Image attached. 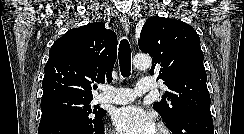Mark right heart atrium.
<instances>
[{
  "instance_id": "d8ad5b80",
  "label": "right heart atrium",
  "mask_w": 244,
  "mask_h": 134,
  "mask_svg": "<svg viewBox=\"0 0 244 134\" xmlns=\"http://www.w3.org/2000/svg\"><path fill=\"white\" fill-rule=\"evenodd\" d=\"M107 134H118V132L113 131V130H109Z\"/></svg>"
}]
</instances>
